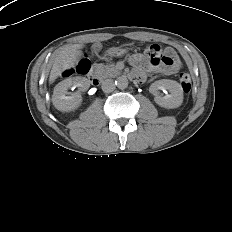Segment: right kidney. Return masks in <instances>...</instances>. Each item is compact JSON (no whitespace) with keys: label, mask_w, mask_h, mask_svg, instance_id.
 Returning <instances> with one entry per match:
<instances>
[{"label":"right kidney","mask_w":232,"mask_h":232,"mask_svg":"<svg viewBox=\"0 0 232 232\" xmlns=\"http://www.w3.org/2000/svg\"><path fill=\"white\" fill-rule=\"evenodd\" d=\"M89 82L85 77L68 78L58 83L53 92L52 102L56 109L68 112L78 108L82 102L80 92L89 88ZM79 87V91L67 96L68 89Z\"/></svg>","instance_id":"ca27d5eb"}]
</instances>
